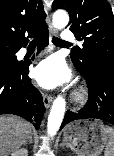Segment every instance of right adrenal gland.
I'll return each instance as SVG.
<instances>
[{"mask_svg":"<svg viewBox=\"0 0 114 156\" xmlns=\"http://www.w3.org/2000/svg\"><path fill=\"white\" fill-rule=\"evenodd\" d=\"M28 143H29V144H32V143H33V141H32V136L29 138L28 142L25 143L24 145H27Z\"/></svg>","mask_w":114,"mask_h":156,"instance_id":"2a0ac1e0","label":"right adrenal gland"}]
</instances>
